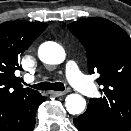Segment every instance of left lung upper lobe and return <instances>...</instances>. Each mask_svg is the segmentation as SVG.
Masks as SVG:
<instances>
[{"mask_svg":"<svg viewBox=\"0 0 131 131\" xmlns=\"http://www.w3.org/2000/svg\"><path fill=\"white\" fill-rule=\"evenodd\" d=\"M86 50L89 73L98 72L101 98H91L88 108L113 128L131 127V39L115 23L98 17L68 25Z\"/></svg>","mask_w":131,"mask_h":131,"instance_id":"obj_1","label":"left lung upper lobe"}]
</instances>
